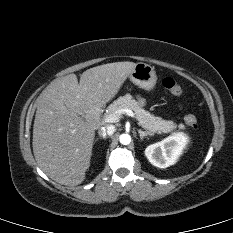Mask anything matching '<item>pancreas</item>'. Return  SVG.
Segmentation results:
<instances>
[{
  "mask_svg": "<svg viewBox=\"0 0 233 233\" xmlns=\"http://www.w3.org/2000/svg\"><path fill=\"white\" fill-rule=\"evenodd\" d=\"M124 108L134 111L139 125L152 135L154 133L173 134L177 128V124L173 121L164 120L161 117H156L152 113L146 111L131 95H125L117 98V100L108 106L105 116L113 114ZM178 128L184 129V126L179 125Z\"/></svg>",
  "mask_w": 233,
  "mask_h": 233,
  "instance_id": "obj_1",
  "label": "pancreas"
}]
</instances>
